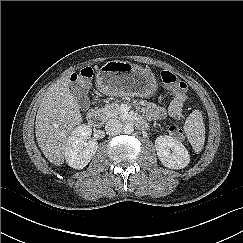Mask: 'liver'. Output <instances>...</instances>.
<instances>
[{"instance_id": "obj_1", "label": "liver", "mask_w": 243, "mask_h": 243, "mask_svg": "<svg viewBox=\"0 0 243 243\" xmlns=\"http://www.w3.org/2000/svg\"><path fill=\"white\" fill-rule=\"evenodd\" d=\"M81 122L80 107L69 90V77H64L48 88L36 115L37 142L49 162L55 166L64 163L67 138Z\"/></svg>"}]
</instances>
